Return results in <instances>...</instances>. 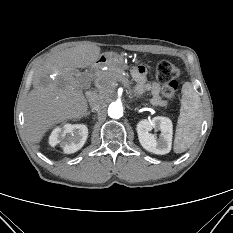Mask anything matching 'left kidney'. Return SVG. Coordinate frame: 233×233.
Here are the masks:
<instances>
[{"label": "left kidney", "mask_w": 233, "mask_h": 233, "mask_svg": "<svg viewBox=\"0 0 233 233\" xmlns=\"http://www.w3.org/2000/svg\"><path fill=\"white\" fill-rule=\"evenodd\" d=\"M153 128L160 130L161 133L158 138L150 133ZM136 129L139 142L144 149L159 155H164L170 152L173 125L169 118L157 116L150 120L143 119L138 122Z\"/></svg>", "instance_id": "1"}]
</instances>
